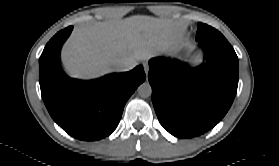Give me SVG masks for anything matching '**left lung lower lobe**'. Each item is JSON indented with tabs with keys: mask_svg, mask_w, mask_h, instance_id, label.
<instances>
[{
	"mask_svg": "<svg viewBox=\"0 0 279 166\" xmlns=\"http://www.w3.org/2000/svg\"><path fill=\"white\" fill-rule=\"evenodd\" d=\"M196 40L205 43L208 61L189 68L167 58L149 61L152 101L161 125L181 138L214 127L229 110L238 86V57L216 29L197 24Z\"/></svg>",
	"mask_w": 279,
	"mask_h": 166,
	"instance_id": "1",
	"label": "left lung lower lobe"
}]
</instances>
